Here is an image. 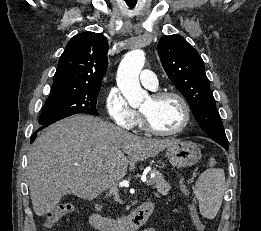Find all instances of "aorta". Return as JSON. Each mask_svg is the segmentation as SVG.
<instances>
[{
  "instance_id": "obj_1",
  "label": "aorta",
  "mask_w": 261,
  "mask_h": 231,
  "mask_svg": "<svg viewBox=\"0 0 261 231\" xmlns=\"http://www.w3.org/2000/svg\"><path fill=\"white\" fill-rule=\"evenodd\" d=\"M145 63L142 50H132L122 59L117 71V85L132 107H137L148 98V93L141 88L139 73Z\"/></svg>"
}]
</instances>
